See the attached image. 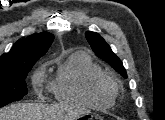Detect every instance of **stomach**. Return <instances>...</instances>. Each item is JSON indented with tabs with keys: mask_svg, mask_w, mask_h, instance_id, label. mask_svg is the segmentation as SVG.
<instances>
[{
	"mask_svg": "<svg viewBox=\"0 0 165 120\" xmlns=\"http://www.w3.org/2000/svg\"><path fill=\"white\" fill-rule=\"evenodd\" d=\"M92 118L101 119L100 116H98L95 113H91V112H85L78 116V119H92Z\"/></svg>",
	"mask_w": 165,
	"mask_h": 120,
	"instance_id": "1",
	"label": "stomach"
}]
</instances>
